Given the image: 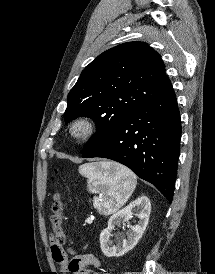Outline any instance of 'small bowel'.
<instances>
[{"instance_id": "small-bowel-1", "label": "small bowel", "mask_w": 215, "mask_h": 274, "mask_svg": "<svg viewBox=\"0 0 215 274\" xmlns=\"http://www.w3.org/2000/svg\"><path fill=\"white\" fill-rule=\"evenodd\" d=\"M51 253L54 261L58 265L61 272L71 274H91L89 267L99 269L92 274H108L101 269L99 259L91 253H77L70 248L69 253L72 258H69L63 244L56 243L51 240Z\"/></svg>"}]
</instances>
